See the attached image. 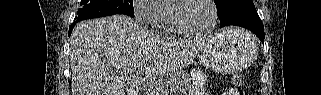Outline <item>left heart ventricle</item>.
<instances>
[{"label": "left heart ventricle", "mask_w": 321, "mask_h": 95, "mask_svg": "<svg viewBox=\"0 0 321 95\" xmlns=\"http://www.w3.org/2000/svg\"><path fill=\"white\" fill-rule=\"evenodd\" d=\"M175 17L182 26L202 31L212 22V8L206 0H191L178 7Z\"/></svg>", "instance_id": "obj_1"}]
</instances>
